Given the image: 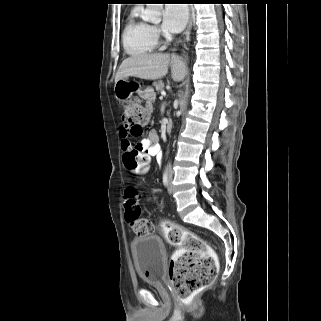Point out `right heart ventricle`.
Segmentation results:
<instances>
[{"label": "right heart ventricle", "mask_w": 321, "mask_h": 321, "mask_svg": "<svg viewBox=\"0 0 321 321\" xmlns=\"http://www.w3.org/2000/svg\"><path fill=\"white\" fill-rule=\"evenodd\" d=\"M141 7H134L126 20L122 42L126 53L130 56H142L153 52L158 44L153 27L140 18Z\"/></svg>", "instance_id": "e07e8e85"}]
</instances>
